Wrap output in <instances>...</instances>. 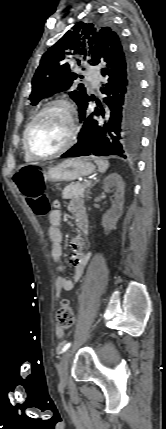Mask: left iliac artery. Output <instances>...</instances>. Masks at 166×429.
Wrapping results in <instances>:
<instances>
[{"mask_svg":"<svg viewBox=\"0 0 166 429\" xmlns=\"http://www.w3.org/2000/svg\"><path fill=\"white\" fill-rule=\"evenodd\" d=\"M70 346H71V342L66 343L63 346L61 353H64L65 351H67Z\"/></svg>","mask_w":166,"mask_h":429,"instance_id":"obj_1","label":"left iliac artery"}]
</instances>
